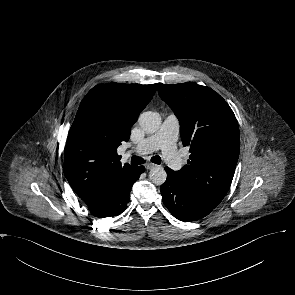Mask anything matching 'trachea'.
<instances>
[{"label": "trachea", "instance_id": "3493384b", "mask_svg": "<svg viewBox=\"0 0 295 295\" xmlns=\"http://www.w3.org/2000/svg\"><path fill=\"white\" fill-rule=\"evenodd\" d=\"M151 161L155 164H160L161 163V158L160 156H153L151 158ZM132 166H137L145 163V160L141 157L138 156H132L131 161H130Z\"/></svg>", "mask_w": 295, "mask_h": 295}]
</instances>
